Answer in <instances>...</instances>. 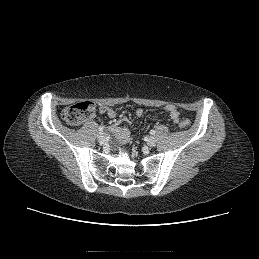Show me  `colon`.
Here are the masks:
<instances>
[{"mask_svg":"<svg viewBox=\"0 0 259 259\" xmlns=\"http://www.w3.org/2000/svg\"><path fill=\"white\" fill-rule=\"evenodd\" d=\"M96 111V105L89 101L78 102L66 107L62 111V119L70 125H78L83 120L90 118ZM179 126L185 129L190 121L186 117L178 118Z\"/></svg>","mask_w":259,"mask_h":259,"instance_id":"5ec220e1","label":"colon"}]
</instances>
